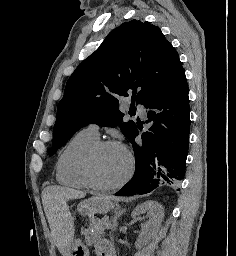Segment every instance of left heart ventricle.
<instances>
[{
  "instance_id": "obj_1",
  "label": "left heart ventricle",
  "mask_w": 236,
  "mask_h": 256,
  "mask_svg": "<svg viewBox=\"0 0 236 256\" xmlns=\"http://www.w3.org/2000/svg\"><path fill=\"white\" fill-rule=\"evenodd\" d=\"M127 157L121 147L103 150L94 163V174L98 183L109 186L117 183L126 173Z\"/></svg>"
}]
</instances>
